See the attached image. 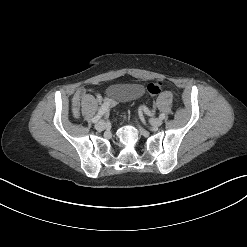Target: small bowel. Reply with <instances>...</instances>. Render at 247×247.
<instances>
[{
    "instance_id": "c3829d8e",
    "label": "small bowel",
    "mask_w": 247,
    "mask_h": 247,
    "mask_svg": "<svg viewBox=\"0 0 247 247\" xmlns=\"http://www.w3.org/2000/svg\"><path fill=\"white\" fill-rule=\"evenodd\" d=\"M88 91L86 89H79L77 90V92L75 93L74 97H73V109H74V113L77 114V107L80 103V101L87 95Z\"/></svg>"
}]
</instances>
